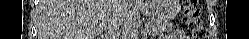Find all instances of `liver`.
<instances>
[{"label":"liver","instance_id":"1","mask_svg":"<svg viewBox=\"0 0 249 39\" xmlns=\"http://www.w3.org/2000/svg\"><path fill=\"white\" fill-rule=\"evenodd\" d=\"M125 0H41L38 39H96L112 19L122 23Z\"/></svg>","mask_w":249,"mask_h":39}]
</instances>
